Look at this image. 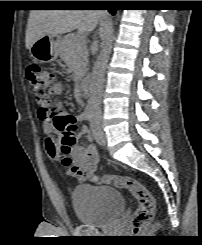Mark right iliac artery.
Masks as SVG:
<instances>
[{"label":"right iliac artery","instance_id":"obj_1","mask_svg":"<svg viewBox=\"0 0 202 245\" xmlns=\"http://www.w3.org/2000/svg\"><path fill=\"white\" fill-rule=\"evenodd\" d=\"M94 105L92 103L87 104L85 111H84V119L91 121L94 119Z\"/></svg>","mask_w":202,"mask_h":245}]
</instances>
